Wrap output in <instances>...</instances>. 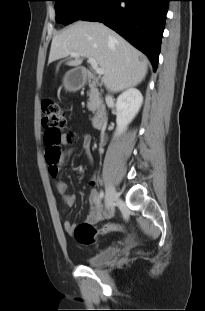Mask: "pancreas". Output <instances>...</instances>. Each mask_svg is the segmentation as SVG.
<instances>
[{"mask_svg":"<svg viewBox=\"0 0 205 311\" xmlns=\"http://www.w3.org/2000/svg\"><path fill=\"white\" fill-rule=\"evenodd\" d=\"M88 102H87V108L89 111L95 112L100 104V97L98 91L91 87V90L88 92Z\"/></svg>","mask_w":205,"mask_h":311,"instance_id":"1","label":"pancreas"}]
</instances>
